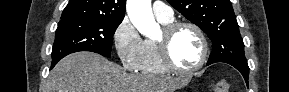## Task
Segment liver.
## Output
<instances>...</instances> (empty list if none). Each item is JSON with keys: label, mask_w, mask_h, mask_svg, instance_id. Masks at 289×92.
Wrapping results in <instances>:
<instances>
[{"label": "liver", "mask_w": 289, "mask_h": 92, "mask_svg": "<svg viewBox=\"0 0 289 92\" xmlns=\"http://www.w3.org/2000/svg\"><path fill=\"white\" fill-rule=\"evenodd\" d=\"M187 79L129 74L93 52L63 58L50 72L44 92H174Z\"/></svg>", "instance_id": "6515ba94"}]
</instances>
